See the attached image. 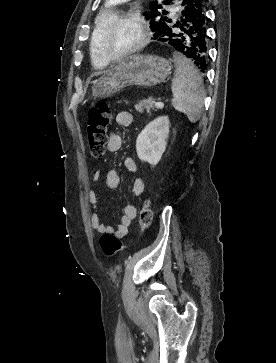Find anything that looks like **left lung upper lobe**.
<instances>
[{
	"label": "left lung upper lobe",
	"instance_id": "1",
	"mask_svg": "<svg viewBox=\"0 0 276 363\" xmlns=\"http://www.w3.org/2000/svg\"><path fill=\"white\" fill-rule=\"evenodd\" d=\"M174 0H167L163 3L166 5H172ZM188 0H182V5H185ZM150 15L155 18L150 21L151 29L154 32H158L163 27H169L173 22V19L169 18L168 12L165 10H161L162 6L158 5L156 1L150 3Z\"/></svg>",
	"mask_w": 276,
	"mask_h": 363
}]
</instances>
